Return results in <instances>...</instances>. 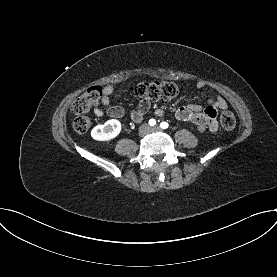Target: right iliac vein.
<instances>
[{
  "label": "right iliac vein",
  "instance_id": "1",
  "mask_svg": "<svg viewBox=\"0 0 277 277\" xmlns=\"http://www.w3.org/2000/svg\"><path fill=\"white\" fill-rule=\"evenodd\" d=\"M147 131H148V127H147V126H143V127L141 128V130H140V134H141V135H145V134L147 133Z\"/></svg>",
  "mask_w": 277,
  "mask_h": 277
}]
</instances>
